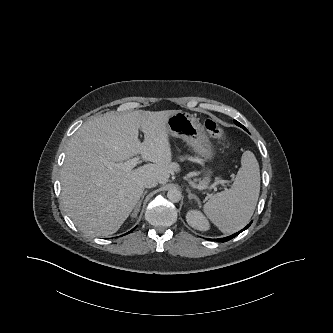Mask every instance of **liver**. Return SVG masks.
<instances>
[{"instance_id":"liver-1","label":"liver","mask_w":333,"mask_h":333,"mask_svg":"<svg viewBox=\"0 0 333 333\" xmlns=\"http://www.w3.org/2000/svg\"><path fill=\"white\" fill-rule=\"evenodd\" d=\"M177 111L110 112L76 131L61 171V197L79 230L94 236L115 233L136 207L146 179L168 182L173 163L167 120ZM138 154L152 163L130 171L116 166Z\"/></svg>"}]
</instances>
